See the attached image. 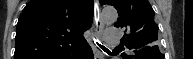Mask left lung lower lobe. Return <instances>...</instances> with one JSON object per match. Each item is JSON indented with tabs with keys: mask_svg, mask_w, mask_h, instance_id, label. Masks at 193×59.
<instances>
[{
	"mask_svg": "<svg viewBox=\"0 0 193 59\" xmlns=\"http://www.w3.org/2000/svg\"><path fill=\"white\" fill-rule=\"evenodd\" d=\"M135 59H163V54L158 48H142L136 52Z\"/></svg>",
	"mask_w": 193,
	"mask_h": 59,
	"instance_id": "0a47b994",
	"label": "left lung lower lobe"
}]
</instances>
